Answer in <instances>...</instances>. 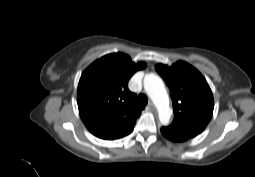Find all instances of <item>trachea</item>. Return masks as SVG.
Here are the masks:
<instances>
[{"label":"trachea","mask_w":255,"mask_h":177,"mask_svg":"<svg viewBox=\"0 0 255 177\" xmlns=\"http://www.w3.org/2000/svg\"><path fill=\"white\" fill-rule=\"evenodd\" d=\"M137 103L139 104V105H143V106H145V105H147V103H148V98L146 97V95L145 94H139L138 95V97H137Z\"/></svg>","instance_id":"3493384b"}]
</instances>
